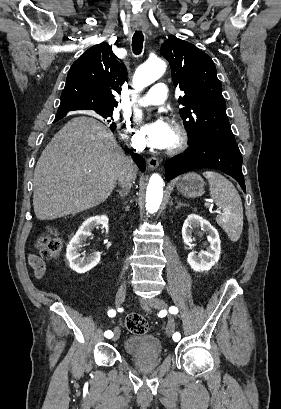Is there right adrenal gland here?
I'll return each mask as SVG.
<instances>
[{
	"label": "right adrenal gland",
	"instance_id": "2a0ac1e0",
	"mask_svg": "<svg viewBox=\"0 0 281 409\" xmlns=\"http://www.w3.org/2000/svg\"><path fill=\"white\" fill-rule=\"evenodd\" d=\"M129 188H127V190H117L118 194H120V196H125V194H127Z\"/></svg>",
	"mask_w": 281,
	"mask_h": 409
}]
</instances>
